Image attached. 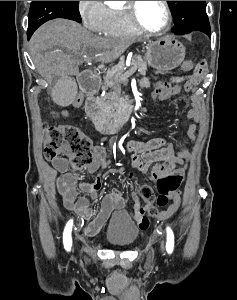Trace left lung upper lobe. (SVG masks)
<instances>
[{"label":"left lung upper lobe","instance_id":"left-lung-upper-lobe-1","mask_svg":"<svg viewBox=\"0 0 237 300\" xmlns=\"http://www.w3.org/2000/svg\"><path fill=\"white\" fill-rule=\"evenodd\" d=\"M174 17L172 31L184 35L191 31H201L211 35L210 24L206 14V1H168Z\"/></svg>","mask_w":237,"mask_h":300}]
</instances>
